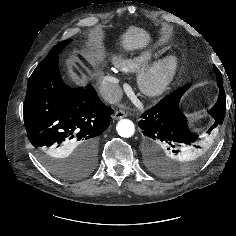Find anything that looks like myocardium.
<instances>
[{"label": "myocardium", "mask_w": 236, "mask_h": 236, "mask_svg": "<svg viewBox=\"0 0 236 236\" xmlns=\"http://www.w3.org/2000/svg\"><path fill=\"white\" fill-rule=\"evenodd\" d=\"M178 71V61L174 57L161 58L149 65L139 76L138 85L148 97L165 93Z\"/></svg>", "instance_id": "obj_1"}]
</instances>
